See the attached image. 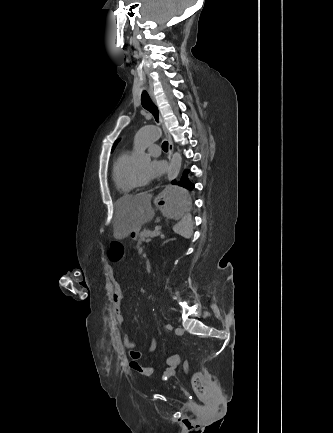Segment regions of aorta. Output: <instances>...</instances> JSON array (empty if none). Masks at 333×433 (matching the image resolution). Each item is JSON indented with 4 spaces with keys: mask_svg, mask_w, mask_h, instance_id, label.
I'll return each instance as SVG.
<instances>
[{
    "mask_svg": "<svg viewBox=\"0 0 333 433\" xmlns=\"http://www.w3.org/2000/svg\"><path fill=\"white\" fill-rule=\"evenodd\" d=\"M162 137V131L156 126H145L139 129L134 137V150L135 154L133 157V163L137 166H145L150 163V156L145 152L147 146L150 143L157 142ZM182 157L179 152H175L172 155L169 171L168 180H174L181 168Z\"/></svg>",
    "mask_w": 333,
    "mask_h": 433,
    "instance_id": "762f6f07",
    "label": "aorta"
}]
</instances>
